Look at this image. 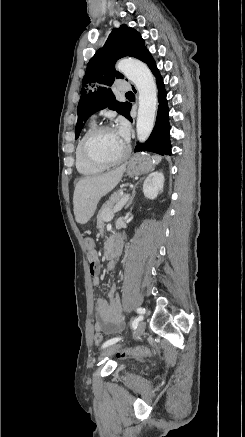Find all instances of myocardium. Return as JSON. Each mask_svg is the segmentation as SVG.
Masks as SVG:
<instances>
[{
    "label": "myocardium",
    "mask_w": 245,
    "mask_h": 437,
    "mask_svg": "<svg viewBox=\"0 0 245 437\" xmlns=\"http://www.w3.org/2000/svg\"><path fill=\"white\" fill-rule=\"evenodd\" d=\"M113 129L114 128L111 125L102 124V125H98V126L93 127L90 131L87 132V134L84 136L83 141H82V152H83V155L87 161H89L90 163H92L96 166L106 168V167L118 165L128 158V156L130 154V145L129 144L126 145L125 152L119 158L114 159V160H105V159L99 158L98 156H96L93 153V151L91 149V145H92V142L94 141V139L98 135H100L101 133L108 131V130H113Z\"/></svg>",
    "instance_id": "1"
}]
</instances>
